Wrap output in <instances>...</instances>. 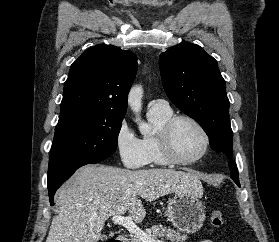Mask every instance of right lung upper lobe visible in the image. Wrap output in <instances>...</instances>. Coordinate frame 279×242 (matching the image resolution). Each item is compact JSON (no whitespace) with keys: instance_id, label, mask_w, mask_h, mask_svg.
<instances>
[{"instance_id":"1","label":"right lung upper lobe","mask_w":279,"mask_h":242,"mask_svg":"<svg viewBox=\"0 0 279 242\" xmlns=\"http://www.w3.org/2000/svg\"><path fill=\"white\" fill-rule=\"evenodd\" d=\"M137 71V57L113 45L87 49L72 65L64 84L61 114L85 111L123 117Z\"/></svg>"}]
</instances>
